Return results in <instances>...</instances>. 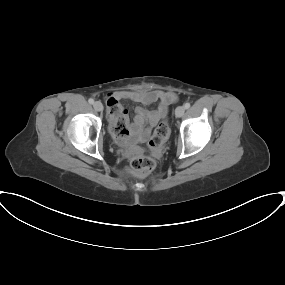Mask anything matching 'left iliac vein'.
I'll list each match as a JSON object with an SVG mask.
<instances>
[{"label": "left iliac vein", "instance_id": "left-iliac-vein-1", "mask_svg": "<svg viewBox=\"0 0 285 285\" xmlns=\"http://www.w3.org/2000/svg\"><path fill=\"white\" fill-rule=\"evenodd\" d=\"M185 113V108L183 106H179L175 110V114L177 117H182Z\"/></svg>", "mask_w": 285, "mask_h": 285}]
</instances>
